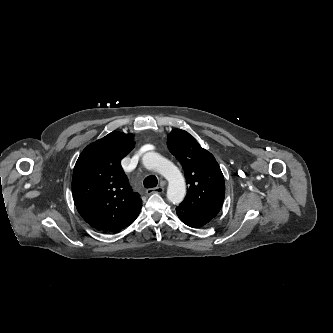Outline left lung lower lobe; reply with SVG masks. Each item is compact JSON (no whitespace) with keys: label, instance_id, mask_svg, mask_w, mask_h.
Here are the masks:
<instances>
[{"label":"left lung lower lobe","instance_id":"obj_1","mask_svg":"<svg viewBox=\"0 0 333 333\" xmlns=\"http://www.w3.org/2000/svg\"><path fill=\"white\" fill-rule=\"evenodd\" d=\"M176 213L179 217V219L185 223L186 225L192 227V228H199L203 225L207 224L212 220L211 217L194 214L188 211H184L176 207Z\"/></svg>","mask_w":333,"mask_h":333}]
</instances>
